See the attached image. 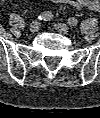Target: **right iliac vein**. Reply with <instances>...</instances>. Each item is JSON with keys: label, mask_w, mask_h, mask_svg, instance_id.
<instances>
[{"label": "right iliac vein", "mask_w": 100, "mask_h": 118, "mask_svg": "<svg viewBox=\"0 0 100 118\" xmlns=\"http://www.w3.org/2000/svg\"><path fill=\"white\" fill-rule=\"evenodd\" d=\"M39 28H40V23L39 22H37V21H35V22H32L31 24H30V26H29V30L31 31V32H37L38 30H39Z\"/></svg>", "instance_id": "right-iliac-vein-1"}]
</instances>
